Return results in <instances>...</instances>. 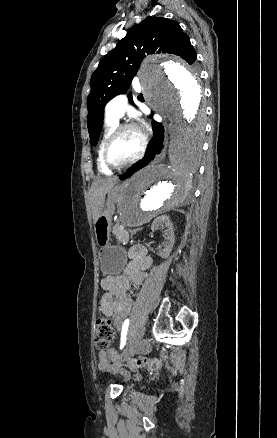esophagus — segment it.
I'll return each instance as SVG.
<instances>
[{"label":"esophagus","instance_id":"esophagus-1","mask_svg":"<svg viewBox=\"0 0 277 438\" xmlns=\"http://www.w3.org/2000/svg\"><path fill=\"white\" fill-rule=\"evenodd\" d=\"M165 125H166V124H165ZM167 140H168V137H167V135H166V136H165V141L167 142ZM165 152H166V146L164 147L162 153H161L160 156L158 157V160H159V159H162V158L165 156Z\"/></svg>","mask_w":277,"mask_h":438}]
</instances>
